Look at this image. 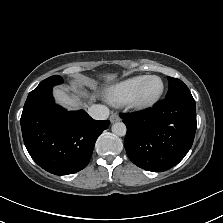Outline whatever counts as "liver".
<instances>
[{
	"mask_svg": "<svg viewBox=\"0 0 223 223\" xmlns=\"http://www.w3.org/2000/svg\"><path fill=\"white\" fill-rule=\"evenodd\" d=\"M119 74L116 72L105 73L97 76L98 80L104 81L105 84H114L118 79ZM54 98L67 107L68 110H77L83 107L85 104H93L99 97L98 92H91L87 88L79 87L77 92H69L58 87H54L52 90Z\"/></svg>",
	"mask_w": 223,
	"mask_h": 223,
	"instance_id": "6515ba94",
	"label": "liver"
}]
</instances>
